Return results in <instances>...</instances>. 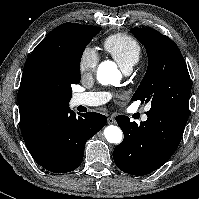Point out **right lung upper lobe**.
<instances>
[{"label":"right lung upper lobe","mask_w":199,"mask_h":199,"mask_svg":"<svg viewBox=\"0 0 199 199\" xmlns=\"http://www.w3.org/2000/svg\"><path fill=\"white\" fill-rule=\"evenodd\" d=\"M66 24L68 23L52 30L31 52L24 65L18 91V104L21 133L25 144L49 129L55 118L69 109V101L58 96L45 95L36 88L37 75L56 42L58 31Z\"/></svg>","instance_id":"1"}]
</instances>
